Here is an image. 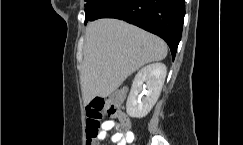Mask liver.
Instances as JSON below:
<instances>
[{
	"mask_svg": "<svg viewBox=\"0 0 243 145\" xmlns=\"http://www.w3.org/2000/svg\"><path fill=\"white\" fill-rule=\"evenodd\" d=\"M166 56L162 39L134 25L117 19L89 23L80 72L84 104L109 96L143 65Z\"/></svg>",
	"mask_w": 243,
	"mask_h": 145,
	"instance_id": "liver-1",
	"label": "liver"
}]
</instances>
